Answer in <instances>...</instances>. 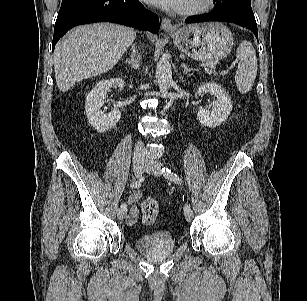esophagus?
<instances>
[{
	"instance_id": "esophagus-1",
	"label": "esophagus",
	"mask_w": 307,
	"mask_h": 301,
	"mask_svg": "<svg viewBox=\"0 0 307 301\" xmlns=\"http://www.w3.org/2000/svg\"><path fill=\"white\" fill-rule=\"evenodd\" d=\"M161 27L166 32L174 31V26L172 25L171 20L167 18H162Z\"/></svg>"
}]
</instances>
